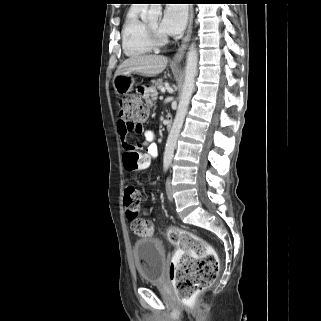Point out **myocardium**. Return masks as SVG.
Segmentation results:
<instances>
[{"instance_id":"obj_1","label":"myocardium","mask_w":321,"mask_h":321,"mask_svg":"<svg viewBox=\"0 0 321 321\" xmlns=\"http://www.w3.org/2000/svg\"><path fill=\"white\" fill-rule=\"evenodd\" d=\"M146 33L148 40L153 47H163L169 43L168 37L156 32L149 23H146Z\"/></svg>"}]
</instances>
